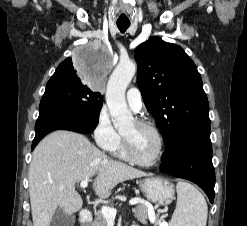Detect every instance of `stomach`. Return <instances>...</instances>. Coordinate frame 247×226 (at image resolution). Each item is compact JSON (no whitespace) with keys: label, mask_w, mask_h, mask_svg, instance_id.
Masks as SVG:
<instances>
[{"label":"stomach","mask_w":247,"mask_h":226,"mask_svg":"<svg viewBox=\"0 0 247 226\" xmlns=\"http://www.w3.org/2000/svg\"><path fill=\"white\" fill-rule=\"evenodd\" d=\"M144 196L151 202L167 205L174 199V185L161 177H149L139 181Z\"/></svg>","instance_id":"1"}]
</instances>
